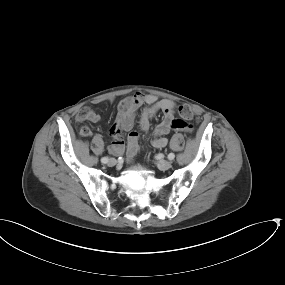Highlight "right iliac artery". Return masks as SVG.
<instances>
[{
	"label": "right iliac artery",
	"instance_id": "1",
	"mask_svg": "<svg viewBox=\"0 0 285 285\" xmlns=\"http://www.w3.org/2000/svg\"><path fill=\"white\" fill-rule=\"evenodd\" d=\"M108 160H109L108 157H103V158L101 159V162H102V163H107Z\"/></svg>",
	"mask_w": 285,
	"mask_h": 285
}]
</instances>
